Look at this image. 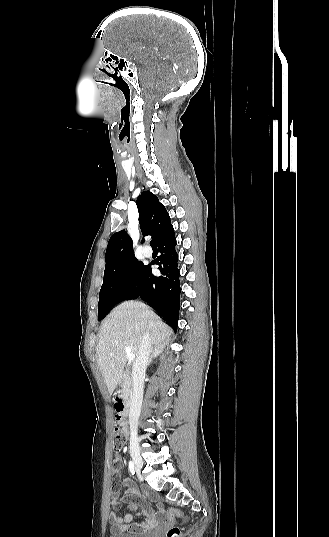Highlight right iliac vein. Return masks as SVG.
<instances>
[{
	"label": "right iliac vein",
	"mask_w": 329,
	"mask_h": 537,
	"mask_svg": "<svg viewBox=\"0 0 329 537\" xmlns=\"http://www.w3.org/2000/svg\"><path fill=\"white\" fill-rule=\"evenodd\" d=\"M138 444L136 441L131 442V456L136 468V471H140L143 466L142 458L140 457Z\"/></svg>",
	"instance_id": "63e3f726"
}]
</instances>
